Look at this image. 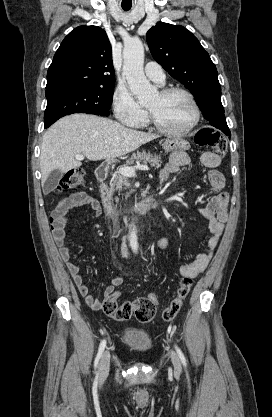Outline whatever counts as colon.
<instances>
[{"instance_id":"colon-1","label":"colon","mask_w":272,"mask_h":417,"mask_svg":"<svg viewBox=\"0 0 272 417\" xmlns=\"http://www.w3.org/2000/svg\"><path fill=\"white\" fill-rule=\"evenodd\" d=\"M195 143L200 147H208L220 158L224 157L227 151L226 139L217 131L211 128H201L194 137ZM84 184V173L81 169H75L65 174L58 182V191H67L78 188ZM53 221V219H51ZM160 249L169 246L167 238H160L157 241ZM192 286V279L183 277L177 286L175 295L169 306L162 311V318L170 321L179 313L184 299L188 296ZM120 291H115L112 295L105 298L103 311L116 321H125L134 316L140 322L151 321L156 314L158 297L155 293H150L147 297H139L132 301H126L118 305Z\"/></svg>"}]
</instances>
